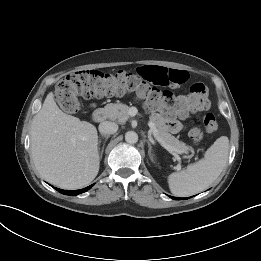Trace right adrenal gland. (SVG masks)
Masks as SVG:
<instances>
[{"label": "right adrenal gland", "mask_w": 261, "mask_h": 261, "mask_svg": "<svg viewBox=\"0 0 261 261\" xmlns=\"http://www.w3.org/2000/svg\"><path fill=\"white\" fill-rule=\"evenodd\" d=\"M103 138H105V142L108 140L109 136L108 135H102ZM105 142L103 144V147L100 151V158H102L103 152H104V146H105ZM101 140L98 141V146H100ZM98 149L100 150V147H98Z\"/></svg>", "instance_id": "1"}]
</instances>
